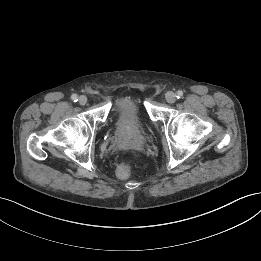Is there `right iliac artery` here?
I'll use <instances>...</instances> for the list:
<instances>
[{
	"instance_id": "1",
	"label": "right iliac artery",
	"mask_w": 261,
	"mask_h": 261,
	"mask_svg": "<svg viewBox=\"0 0 261 261\" xmlns=\"http://www.w3.org/2000/svg\"><path fill=\"white\" fill-rule=\"evenodd\" d=\"M71 99L74 101V102H77L78 101V96L76 94H73L71 96Z\"/></svg>"
}]
</instances>
